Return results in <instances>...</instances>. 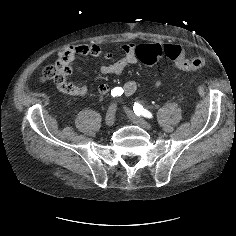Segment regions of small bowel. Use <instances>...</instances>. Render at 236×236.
<instances>
[{
    "label": "small bowel",
    "instance_id": "small-bowel-1",
    "mask_svg": "<svg viewBox=\"0 0 236 236\" xmlns=\"http://www.w3.org/2000/svg\"><path fill=\"white\" fill-rule=\"evenodd\" d=\"M145 45H149L152 47H162V44L159 43H145ZM138 46L139 45H135L132 43L124 44L122 46L123 57L111 63L103 64L100 67V73L103 75H118L121 74L128 66L136 64L138 61L136 57V49L138 48ZM62 53L70 58L71 67L67 78L64 81L57 83L56 86L59 92L69 97H82L88 92L87 85H75L67 81L73 71L72 62L76 57L91 56L104 61L112 60L115 57V54L113 52H103L100 45L96 43L77 44L63 50ZM153 84L156 87L162 86L160 80H154ZM122 89L125 96H131L137 89V83L135 81H128L123 85ZM98 91L100 94L105 95L110 91V86L106 83H102L99 85Z\"/></svg>",
    "mask_w": 236,
    "mask_h": 236
}]
</instances>
